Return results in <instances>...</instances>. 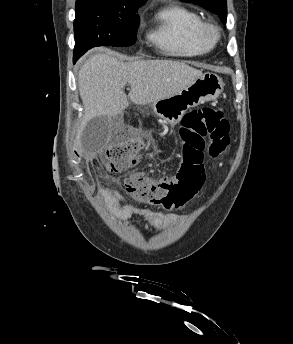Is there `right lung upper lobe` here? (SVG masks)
I'll use <instances>...</instances> for the list:
<instances>
[{
    "instance_id": "obj_1",
    "label": "right lung upper lobe",
    "mask_w": 293,
    "mask_h": 344,
    "mask_svg": "<svg viewBox=\"0 0 293 344\" xmlns=\"http://www.w3.org/2000/svg\"><path fill=\"white\" fill-rule=\"evenodd\" d=\"M82 1L84 0H77L76 4H79ZM93 1H100L107 4H112V5L133 6V7H138V8L146 2V0H93Z\"/></svg>"
}]
</instances>
